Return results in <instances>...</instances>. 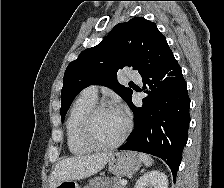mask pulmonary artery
Listing matches in <instances>:
<instances>
[{
    "label": "pulmonary artery",
    "mask_w": 224,
    "mask_h": 188,
    "mask_svg": "<svg viewBox=\"0 0 224 188\" xmlns=\"http://www.w3.org/2000/svg\"><path fill=\"white\" fill-rule=\"evenodd\" d=\"M126 76H127V78L132 79V80H140L139 72L132 70V69L127 70ZM84 93H86L87 95H89L91 97L97 98L98 87L96 85H90L84 90Z\"/></svg>",
    "instance_id": "pulmonary-artery-1"
}]
</instances>
